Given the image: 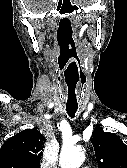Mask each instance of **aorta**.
<instances>
[{"label":"aorta","instance_id":"1","mask_svg":"<svg viewBox=\"0 0 127 168\" xmlns=\"http://www.w3.org/2000/svg\"><path fill=\"white\" fill-rule=\"evenodd\" d=\"M85 159L80 147L71 146L63 148L60 154L61 168H79Z\"/></svg>","mask_w":127,"mask_h":168}]
</instances>
